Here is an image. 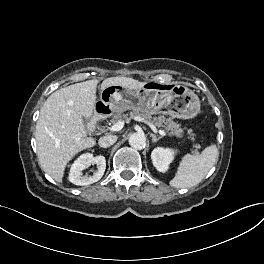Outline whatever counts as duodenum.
Instances as JSON below:
<instances>
[{"instance_id": "obj_1", "label": "duodenum", "mask_w": 264, "mask_h": 264, "mask_svg": "<svg viewBox=\"0 0 264 264\" xmlns=\"http://www.w3.org/2000/svg\"><path fill=\"white\" fill-rule=\"evenodd\" d=\"M103 118V113L100 111H97L93 114L90 123H89V129L93 131L96 127V124Z\"/></svg>"}]
</instances>
